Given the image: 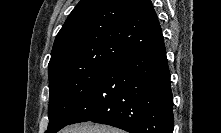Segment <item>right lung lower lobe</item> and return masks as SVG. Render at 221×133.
<instances>
[{"instance_id":"98d812e1","label":"right lung lower lobe","mask_w":221,"mask_h":133,"mask_svg":"<svg viewBox=\"0 0 221 133\" xmlns=\"http://www.w3.org/2000/svg\"><path fill=\"white\" fill-rule=\"evenodd\" d=\"M170 83L163 41L110 65L69 124L92 121L130 133H173Z\"/></svg>"}]
</instances>
